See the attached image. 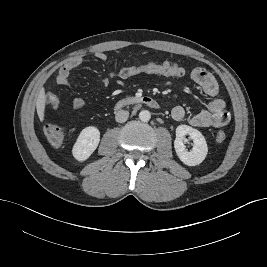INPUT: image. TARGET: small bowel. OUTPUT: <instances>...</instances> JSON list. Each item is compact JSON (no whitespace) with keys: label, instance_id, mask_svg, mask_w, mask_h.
I'll use <instances>...</instances> for the list:
<instances>
[{"label":"small bowel","instance_id":"1","mask_svg":"<svg viewBox=\"0 0 267 267\" xmlns=\"http://www.w3.org/2000/svg\"><path fill=\"white\" fill-rule=\"evenodd\" d=\"M96 58L101 61H106L107 56L104 52H97ZM83 63L81 56H76L65 63L59 70L56 76V83L60 87H69V79L71 73ZM191 79L201 87L204 93L213 99L209 102L206 109L194 114L188 113V111L182 106H176L172 109L171 115L177 120L187 119L190 125L194 127L205 128H218L226 125L230 120V114L225 109V102L221 98L216 97L219 92V86L214 76L206 69L197 67L191 71ZM113 78L119 77V71L109 72L107 76L102 80L105 87ZM60 103V97L54 93H48L45 97V104L51 107H57ZM86 105V101L83 98L77 97L72 101V107L75 110L81 109Z\"/></svg>","mask_w":267,"mask_h":267}]
</instances>
